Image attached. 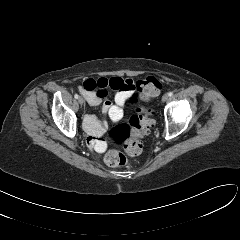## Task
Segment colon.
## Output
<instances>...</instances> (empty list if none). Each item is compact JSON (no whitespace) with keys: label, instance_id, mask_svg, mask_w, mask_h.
Segmentation results:
<instances>
[{"label":"colon","instance_id":"1","mask_svg":"<svg viewBox=\"0 0 240 240\" xmlns=\"http://www.w3.org/2000/svg\"><path fill=\"white\" fill-rule=\"evenodd\" d=\"M134 88L132 101L137 102L139 99L150 100L156 97L162 90V84L157 78L148 76L137 81ZM153 124L154 120L150 117V110L137 107L129 121L113 127L103 141L123 147L130 156L139 155L142 151V138L149 133ZM105 161L113 167L127 164L125 154L116 148L106 152Z\"/></svg>","mask_w":240,"mask_h":240}]
</instances>
